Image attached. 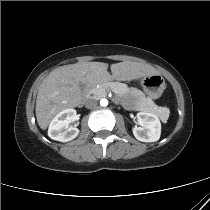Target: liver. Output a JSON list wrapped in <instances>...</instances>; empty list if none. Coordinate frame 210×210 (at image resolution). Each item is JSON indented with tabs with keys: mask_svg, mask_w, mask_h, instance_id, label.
<instances>
[{
	"mask_svg": "<svg viewBox=\"0 0 210 210\" xmlns=\"http://www.w3.org/2000/svg\"><path fill=\"white\" fill-rule=\"evenodd\" d=\"M107 69V63L79 62L53 70L43 80L37 94L35 112L39 127L45 130L54 116L81 103L80 83L93 87L110 80L132 81L157 74L153 67L132 61L112 64V75Z\"/></svg>",
	"mask_w": 210,
	"mask_h": 210,
	"instance_id": "obj_1",
	"label": "liver"
}]
</instances>
